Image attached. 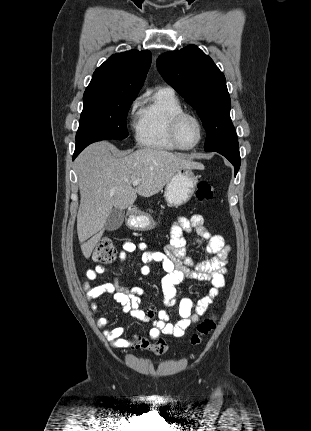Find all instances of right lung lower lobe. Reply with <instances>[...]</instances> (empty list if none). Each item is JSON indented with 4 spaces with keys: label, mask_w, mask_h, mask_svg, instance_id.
Here are the masks:
<instances>
[{
    "label": "right lung lower lobe",
    "mask_w": 311,
    "mask_h": 431,
    "mask_svg": "<svg viewBox=\"0 0 311 431\" xmlns=\"http://www.w3.org/2000/svg\"><path fill=\"white\" fill-rule=\"evenodd\" d=\"M93 143V142H92ZM89 144H91V141L85 142V143H81V144H76V148H75V152L73 155V160L76 158V156L85 148L87 147Z\"/></svg>",
    "instance_id": "1"
}]
</instances>
